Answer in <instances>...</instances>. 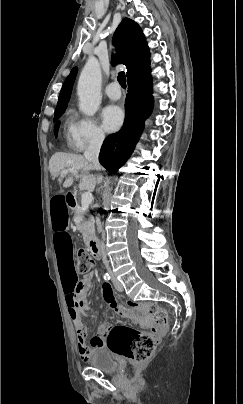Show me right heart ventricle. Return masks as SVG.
<instances>
[{
  "mask_svg": "<svg viewBox=\"0 0 243 404\" xmlns=\"http://www.w3.org/2000/svg\"><path fill=\"white\" fill-rule=\"evenodd\" d=\"M69 122H70V119L68 118V119L66 120V127L68 126Z\"/></svg>",
  "mask_w": 243,
  "mask_h": 404,
  "instance_id": "e07e8e85",
  "label": "right heart ventricle"
}]
</instances>
